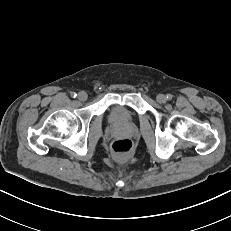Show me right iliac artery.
<instances>
[{
	"label": "right iliac artery",
	"mask_w": 231,
	"mask_h": 231,
	"mask_svg": "<svg viewBox=\"0 0 231 231\" xmlns=\"http://www.w3.org/2000/svg\"><path fill=\"white\" fill-rule=\"evenodd\" d=\"M76 96H77V94H76L75 92H72V93H71V97H72V98H75Z\"/></svg>",
	"instance_id": "82829eb1"
}]
</instances>
